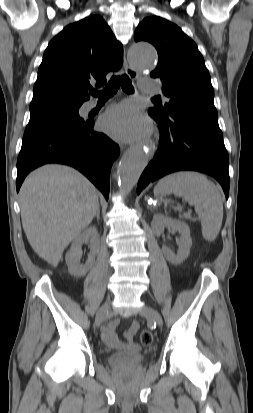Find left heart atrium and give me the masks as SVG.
I'll list each match as a JSON object with an SVG mask.
<instances>
[{
	"mask_svg": "<svg viewBox=\"0 0 253 413\" xmlns=\"http://www.w3.org/2000/svg\"><path fill=\"white\" fill-rule=\"evenodd\" d=\"M100 127L123 141L138 139L150 131L148 119L131 103H122L108 110L100 120Z\"/></svg>",
	"mask_w": 253,
	"mask_h": 413,
	"instance_id": "1",
	"label": "left heart atrium"
}]
</instances>
